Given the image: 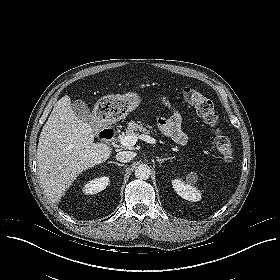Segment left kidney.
Here are the masks:
<instances>
[{"mask_svg":"<svg viewBox=\"0 0 280 280\" xmlns=\"http://www.w3.org/2000/svg\"><path fill=\"white\" fill-rule=\"evenodd\" d=\"M172 186L176 193L183 199L191 202H197L201 199L200 191L188 180L185 182L180 178L173 179Z\"/></svg>","mask_w":280,"mask_h":280,"instance_id":"1","label":"left kidney"}]
</instances>
